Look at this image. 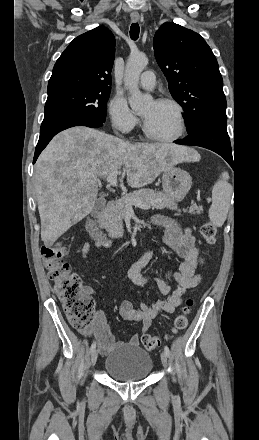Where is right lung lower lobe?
Instances as JSON below:
<instances>
[{
    "label": "right lung lower lobe",
    "instance_id": "right-lung-lower-lobe-1",
    "mask_svg": "<svg viewBox=\"0 0 259 440\" xmlns=\"http://www.w3.org/2000/svg\"><path fill=\"white\" fill-rule=\"evenodd\" d=\"M74 126L101 127L103 126V122L75 115L43 121L40 128V137L36 146L33 163H35L42 150L57 133Z\"/></svg>",
    "mask_w": 259,
    "mask_h": 440
}]
</instances>
